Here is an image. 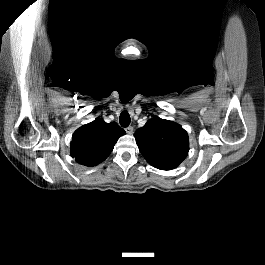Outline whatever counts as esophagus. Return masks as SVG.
I'll return each mask as SVG.
<instances>
[{"label":"esophagus","instance_id":"1","mask_svg":"<svg viewBox=\"0 0 265 265\" xmlns=\"http://www.w3.org/2000/svg\"><path fill=\"white\" fill-rule=\"evenodd\" d=\"M125 131L128 135H131L133 133V127L132 126H128L125 128Z\"/></svg>","mask_w":265,"mask_h":265}]
</instances>
